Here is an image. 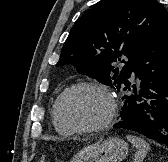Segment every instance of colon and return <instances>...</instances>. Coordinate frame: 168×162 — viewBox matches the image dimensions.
<instances>
[{"instance_id": "1", "label": "colon", "mask_w": 168, "mask_h": 162, "mask_svg": "<svg viewBox=\"0 0 168 162\" xmlns=\"http://www.w3.org/2000/svg\"><path fill=\"white\" fill-rule=\"evenodd\" d=\"M37 162H46V156L45 155H42L38 160Z\"/></svg>"}]
</instances>
